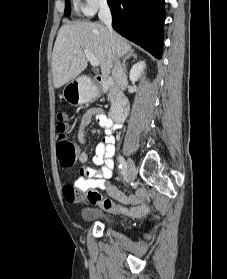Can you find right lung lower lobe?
<instances>
[{
	"mask_svg": "<svg viewBox=\"0 0 227 279\" xmlns=\"http://www.w3.org/2000/svg\"><path fill=\"white\" fill-rule=\"evenodd\" d=\"M113 28L160 59L163 46L164 0H108Z\"/></svg>",
	"mask_w": 227,
	"mask_h": 279,
	"instance_id": "right-lung-lower-lobe-1",
	"label": "right lung lower lobe"
}]
</instances>
